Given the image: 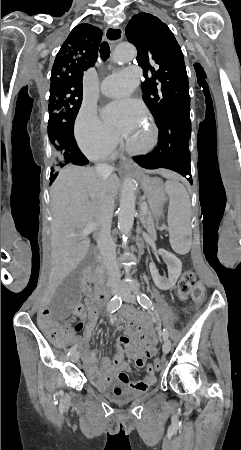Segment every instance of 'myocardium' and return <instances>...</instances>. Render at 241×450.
I'll return each instance as SVG.
<instances>
[{
    "label": "myocardium",
    "instance_id": "myocardium-1",
    "mask_svg": "<svg viewBox=\"0 0 241 450\" xmlns=\"http://www.w3.org/2000/svg\"><path fill=\"white\" fill-rule=\"evenodd\" d=\"M149 126L150 127H153L154 126V123L153 122H150L149 123ZM149 135H151V137H149V139L148 140H144L143 141V144L144 145H147V148H146V153H151V149H155L156 148V145L155 144H153V142H156V130H149ZM146 153L145 152H142L141 153V156L142 157H145L146 156ZM138 155V154H137ZM140 155V154H139ZM148 155V154H147Z\"/></svg>",
    "mask_w": 241,
    "mask_h": 450
}]
</instances>
